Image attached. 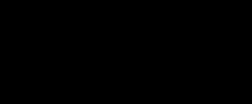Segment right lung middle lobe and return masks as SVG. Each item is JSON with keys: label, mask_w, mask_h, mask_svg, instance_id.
Instances as JSON below:
<instances>
[{"label": "right lung middle lobe", "mask_w": 252, "mask_h": 104, "mask_svg": "<svg viewBox=\"0 0 252 104\" xmlns=\"http://www.w3.org/2000/svg\"><path fill=\"white\" fill-rule=\"evenodd\" d=\"M111 23L106 17L87 15L65 24L44 42L37 69H43L52 57L67 56L94 72L106 73L101 51Z\"/></svg>", "instance_id": "obj_1"}]
</instances>
